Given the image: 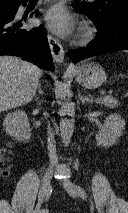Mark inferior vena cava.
<instances>
[{
  "instance_id": "inferior-vena-cava-1",
  "label": "inferior vena cava",
  "mask_w": 128,
  "mask_h": 213,
  "mask_svg": "<svg viewBox=\"0 0 128 213\" xmlns=\"http://www.w3.org/2000/svg\"><path fill=\"white\" fill-rule=\"evenodd\" d=\"M48 153L50 158L51 165H57L58 164V157L56 154V145L53 133L51 132L50 125H48Z\"/></svg>"
}]
</instances>
